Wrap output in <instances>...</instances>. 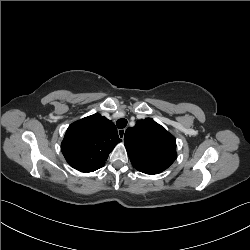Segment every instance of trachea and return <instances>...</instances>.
Here are the masks:
<instances>
[{
    "label": "trachea",
    "instance_id": "trachea-1",
    "mask_svg": "<svg viewBox=\"0 0 250 250\" xmlns=\"http://www.w3.org/2000/svg\"><path fill=\"white\" fill-rule=\"evenodd\" d=\"M116 125L119 129H123L126 127L127 125V120L126 119H118L117 122H116Z\"/></svg>",
    "mask_w": 250,
    "mask_h": 250
}]
</instances>
